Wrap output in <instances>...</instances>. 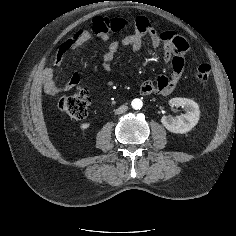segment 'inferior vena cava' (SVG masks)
<instances>
[{
	"label": "inferior vena cava",
	"mask_w": 236,
	"mask_h": 236,
	"mask_svg": "<svg viewBox=\"0 0 236 236\" xmlns=\"http://www.w3.org/2000/svg\"><path fill=\"white\" fill-rule=\"evenodd\" d=\"M128 110V106L121 105L118 109L115 110L116 114H122L125 113Z\"/></svg>",
	"instance_id": "inferior-vena-cava-1"
}]
</instances>
